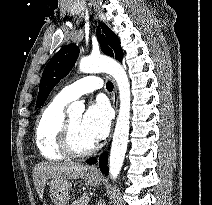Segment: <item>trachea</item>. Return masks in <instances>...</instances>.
I'll return each mask as SVG.
<instances>
[{
	"mask_svg": "<svg viewBox=\"0 0 212 205\" xmlns=\"http://www.w3.org/2000/svg\"><path fill=\"white\" fill-rule=\"evenodd\" d=\"M106 89H107L108 91H112V90H113V84H112V82L108 81V82L106 83Z\"/></svg>",
	"mask_w": 212,
	"mask_h": 205,
	"instance_id": "1",
	"label": "trachea"
}]
</instances>
